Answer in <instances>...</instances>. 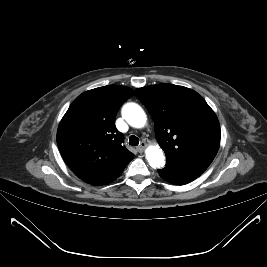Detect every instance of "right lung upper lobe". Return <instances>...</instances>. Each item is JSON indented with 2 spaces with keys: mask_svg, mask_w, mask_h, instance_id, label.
I'll return each instance as SVG.
<instances>
[{
  "mask_svg": "<svg viewBox=\"0 0 267 267\" xmlns=\"http://www.w3.org/2000/svg\"><path fill=\"white\" fill-rule=\"evenodd\" d=\"M131 88L108 85L82 93L70 105L57 131V144L69 168L86 183L100 186L121 175L134 154L122 146L115 127L119 107Z\"/></svg>",
  "mask_w": 267,
  "mask_h": 267,
  "instance_id": "1",
  "label": "right lung upper lobe"
}]
</instances>
